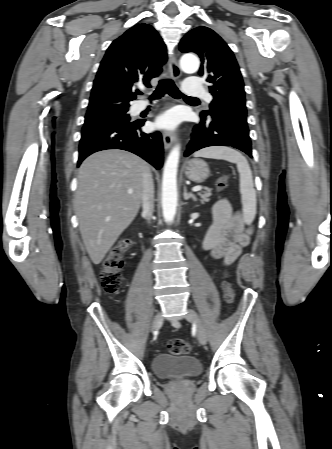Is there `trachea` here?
<instances>
[{
  "label": "trachea",
  "mask_w": 332,
  "mask_h": 449,
  "mask_svg": "<svg viewBox=\"0 0 332 449\" xmlns=\"http://www.w3.org/2000/svg\"><path fill=\"white\" fill-rule=\"evenodd\" d=\"M165 93H168L170 96L174 98H184L189 100H196L198 101V98L189 97L184 95L174 84L173 80L171 79H163L159 82L156 90L153 92V94L150 96L151 99H159L161 98ZM139 94H142L139 92Z\"/></svg>",
  "instance_id": "1"
}]
</instances>
